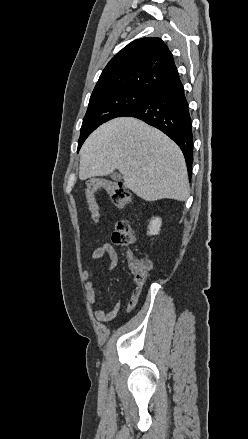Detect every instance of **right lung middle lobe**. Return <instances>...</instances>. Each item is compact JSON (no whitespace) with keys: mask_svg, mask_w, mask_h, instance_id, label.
Wrapping results in <instances>:
<instances>
[{"mask_svg":"<svg viewBox=\"0 0 248 439\" xmlns=\"http://www.w3.org/2000/svg\"><path fill=\"white\" fill-rule=\"evenodd\" d=\"M148 95L147 93L139 91L123 90L90 99L80 131L78 151L85 139L98 126L113 118L120 117L124 112L140 103Z\"/></svg>","mask_w":248,"mask_h":439,"instance_id":"right-lung-middle-lobe-1","label":"right lung middle lobe"}]
</instances>
